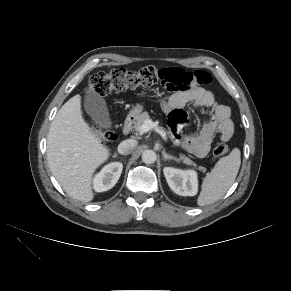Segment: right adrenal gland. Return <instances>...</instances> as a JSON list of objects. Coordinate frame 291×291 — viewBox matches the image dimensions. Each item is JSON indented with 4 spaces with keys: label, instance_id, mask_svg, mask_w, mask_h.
I'll list each match as a JSON object with an SVG mask.
<instances>
[{
    "label": "right adrenal gland",
    "instance_id": "1",
    "mask_svg": "<svg viewBox=\"0 0 291 291\" xmlns=\"http://www.w3.org/2000/svg\"><path fill=\"white\" fill-rule=\"evenodd\" d=\"M118 156V154H115L113 157H117Z\"/></svg>",
    "mask_w": 291,
    "mask_h": 291
}]
</instances>
